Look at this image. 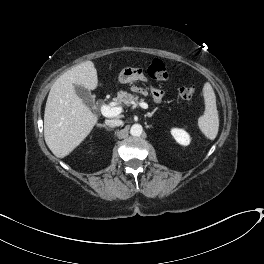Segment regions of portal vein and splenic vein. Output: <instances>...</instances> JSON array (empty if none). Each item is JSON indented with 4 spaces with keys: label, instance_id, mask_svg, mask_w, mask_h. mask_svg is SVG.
<instances>
[{
    "label": "portal vein and splenic vein",
    "instance_id": "1",
    "mask_svg": "<svg viewBox=\"0 0 264 264\" xmlns=\"http://www.w3.org/2000/svg\"><path fill=\"white\" fill-rule=\"evenodd\" d=\"M139 106L143 109L148 108V104L145 102H139ZM101 113L105 117H115L122 112V107H110L109 105H102L101 106Z\"/></svg>",
    "mask_w": 264,
    "mask_h": 264
}]
</instances>
